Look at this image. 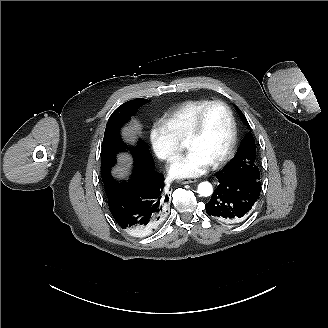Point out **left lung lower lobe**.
<instances>
[{
    "label": "left lung lower lobe",
    "mask_w": 328,
    "mask_h": 328,
    "mask_svg": "<svg viewBox=\"0 0 328 328\" xmlns=\"http://www.w3.org/2000/svg\"><path fill=\"white\" fill-rule=\"evenodd\" d=\"M216 177L219 185L205 204L207 214L225 223L245 218L259 199L260 179L251 174L223 170Z\"/></svg>",
    "instance_id": "left-lung-lower-lobe-1"
}]
</instances>
